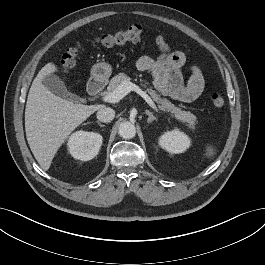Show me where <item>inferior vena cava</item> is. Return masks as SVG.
Here are the masks:
<instances>
[{"label": "inferior vena cava", "mask_w": 265, "mask_h": 265, "mask_svg": "<svg viewBox=\"0 0 265 265\" xmlns=\"http://www.w3.org/2000/svg\"><path fill=\"white\" fill-rule=\"evenodd\" d=\"M115 117V111L110 107H102L97 112V119L101 122H111Z\"/></svg>", "instance_id": "inferior-vena-cava-1"}]
</instances>
